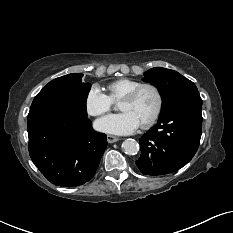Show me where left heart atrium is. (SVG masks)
Listing matches in <instances>:
<instances>
[{
  "instance_id": "obj_1",
  "label": "left heart atrium",
  "mask_w": 233,
  "mask_h": 233,
  "mask_svg": "<svg viewBox=\"0 0 233 233\" xmlns=\"http://www.w3.org/2000/svg\"><path fill=\"white\" fill-rule=\"evenodd\" d=\"M95 126L102 132L124 135L137 130L141 123L132 113L122 112L99 119L96 121Z\"/></svg>"
}]
</instances>
